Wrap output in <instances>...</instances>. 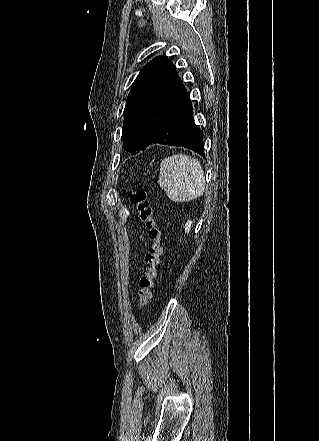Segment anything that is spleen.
Listing matches in <instances>:
<instances>
[{"label":"spleen","instance_id":"spleen-1","mask_svg":"<svg viewBox=\"0 0 319 441\" xmlns=\"http://www.w3.org/2000/svg\"><path fill=\"white\" fill-rule=\"evenodd\" d=\"M159 185L172 201L194 200L205 191L203 168L193 157L173 154L161 162Z\"/></svg>","mask_w":319,"mask_h":441}]
</instances>
